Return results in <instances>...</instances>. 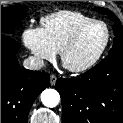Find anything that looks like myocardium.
<instances>
[{
    "label": "myocardium",
    "mask_w": 123,
    "mask_h": 123,
    "mask_svg": "<svg viewBox=\"0 0 123 123\" xmlns=\"http://www.w3.org/2000/svg\"><path fill=\"white\" fill-rule=\"evenodd\" d=\"M94 25H101L104 27V29L106 31V39H105L104 44L102 45V47L100 48L98 53L86 64L81 65V66L68 65L67 61H66L68 53L76 45V43L78 42L81 35L87 29H89L90 27H92ZM110 40H111V32H110V29L107 26V24L100 20H93V21L81 26L80 28H78L74 32V34L70 37V39L65 43V45L62 47V49L60 51L61 62L63 64V66L70 72H73V73L85 72V71L91 69L93 66H95L98 63V61L101 59V57L104 55L105 51L107 50Z\"/></svg>",
    "instance_id": "1"
}]
</instances>
